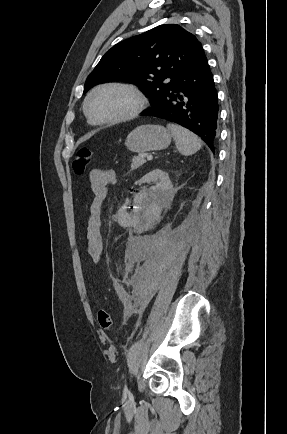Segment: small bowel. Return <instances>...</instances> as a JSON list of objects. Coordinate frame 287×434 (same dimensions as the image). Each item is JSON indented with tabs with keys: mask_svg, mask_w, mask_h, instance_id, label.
Returning a JSON list of instances; mask_svg holds the SVG:
<instances>
[{
	"mask_svg": "<svg viewBox=\"0 0 287 434\" xmlns=\"http://www.w3.org/2000/svg\"><path fill=\"white\" fill-rule=\"evenodd\" d=\"M117 181L116 172L107 168H95L89 173V185L93 199L89 206L86 225V247L90 257L98 262L103 254L102 207L107 197L108 186Z\"/></svg>",
	"mask_w": 287,
	"mask_h": 434,
	"instance_id": "small-bowel-1",
	"label": "small bowel"
}]
</instances>
